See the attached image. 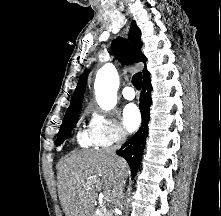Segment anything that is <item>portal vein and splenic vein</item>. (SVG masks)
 I'll return each mask as SVG.
<instances>
[{
    "instance_id": "obj_1",
    "label": "portal vein and splenic vein",
    "mask_w": 221,
    "mask_h": 216,
    "mask_svg": "<svg viewBox=\"0 0 221 216\" xmlns=\"http://www.w3.org/2000/svg\"><path fill=\"white\" fill-rule=\"evenodd\" d=\"M114 196H115V192L112 190H107L104 193V197L107 201H111L114 198Z\"/></svg>"
}]
</instances>
